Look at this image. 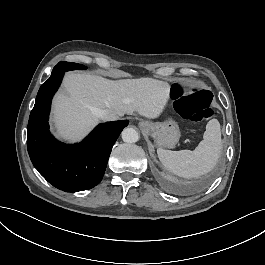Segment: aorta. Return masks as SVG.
I'll return each mask as SVG.
<instances>
[{"instance_id": "762f6f07", "label": "aorta", "mask_w": 265, "mask_h": 265, "mask_svg": "<svg viewBox=\"0 0 265 265\" xmlns=\"http://www.w3.org/2000/svg\"><path fill=\"white\" fill-rule=\"evenodd\" d=\"M121 135L126 143H135L139 140L138 132L134 128H124Z\"/></svg>"}]
</instances>
